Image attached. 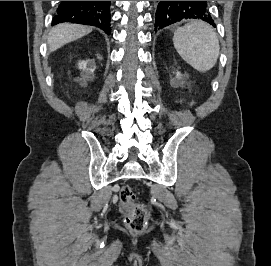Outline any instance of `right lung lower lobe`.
I'll list each match as a JSON object with an SVG mask.
<instances>
[{
    "instance_id": "obj_1",
    "label": "right lung lower lobe",
    "mask_w": 271,
    "mask_h": 266,
    "mask_svg": "<svg viewBox=\"0 0 271 266\" xmlns=\"http://www.w3.org/2000/svg\"><path fill=\"white\" fill-rule=\"evenodd\" d=\"M111 1H61L52 25L63 22L92 25L110 34Z\"/></svg>"
}]
</instances>
